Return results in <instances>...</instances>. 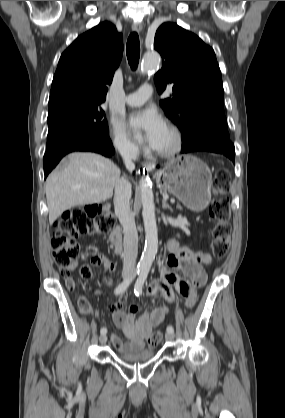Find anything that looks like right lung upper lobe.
<instances>
[{
	"mask_svg": "<svg viewBox=\"0 0 285 418\" xmlns=\"http://www.w3.org/2000/svg\"><path fill=\"white\" fill-rule=\"evenodd\" d=\"M122 34L102 22L80 35L61 55L49 104L59 101L104 102L122 58Z\"/></svg>",
	"mask_w": 285,
	"mask_h": 418,
	"instance_id": "right-lung-upper-lobe-1",
	"label": "right lung upper lobe"
}]
</instances>
